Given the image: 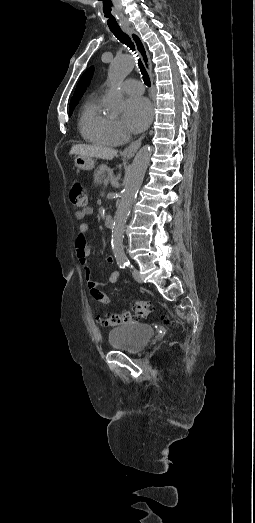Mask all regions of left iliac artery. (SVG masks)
Instances as JSON below:
<instances>
[{
  "label": "left iliac artery",
  "mask_w": 255,
  "mask_h": 523,
  "mask_svg": "<svg viewBox=\"0 0 255 523\" xmlns=\"http://www.w3.org/2000/svg\"><path fill=\"white\" fill-rule=\"evenodd\" d=\"M126 263H127V267H129L130 269H132V268H133V265H131V263H130V261H129V260H127V261H126Z\"/></svg>",
  "instance_id": "1"
}]
</instances>
